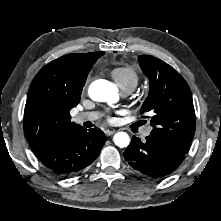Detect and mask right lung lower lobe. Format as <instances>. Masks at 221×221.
Listing matches in <instances>:
<instances>
[{
  "label": "right lung lower lobe",
  "instance_id": "obj_1",
  "mask_svg": "<svg viewBox=\"0 0 221 221\" xmlns=\"http://www.w3.org/2000/svg\"><path fill=\"white\" fill-rule=\"evenodd\" d=\"M105 141L103 131L79 127L62 137L38 159L55 175L73 176L96 160Z\"/></svg>",
  "mask_w": 221,
  "mask_h": 221
}]
</instances>
